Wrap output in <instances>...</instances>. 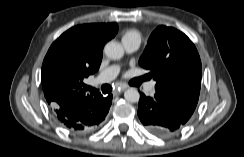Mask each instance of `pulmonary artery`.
<instances>
[{
    "label": "pulmonary artery",
    "mask_w": 244,
    "mask_h": 157,
    "mask_svg": "<svg viewBox=\"0 0 244 157\" xmlns=\"http://www.w3.org/2000/svg\"><path fill=\"white\" fill-rule=\"evenodd\" d=\"M123 47L128 53H132L136 51L140 45V43L136 40H124L122 41ZM119 73V66L118 65H112L105 70H103L97 80L95 81L96 84H103V83H108L112 81L117 74ZM154 89V82H150L146 85L145 90L147 92H152Z\"/></svg>",
    "instance_id": "pulmonary-artery-1"
}]
</instances>
